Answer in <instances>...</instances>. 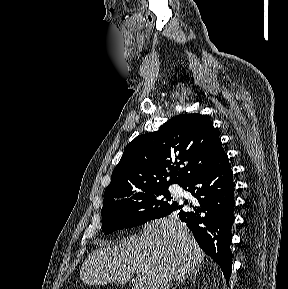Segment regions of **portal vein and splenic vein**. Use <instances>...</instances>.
<instances>
[{
    "label": "portal vein and splenic vein",
    "mask_w": 288,
    "mask_h": 289,
    "mask_svg": "<svg viewBox=\"0 0 288 289\" xmlns=\"http://www.w3.org/2000/svg\"><path fill=\"white\" fill-rule=\"evenodd\" d=\"M134 289H140L141 288V279L137 278L136 280H134Z\"/></svg>",
    "instance_id": "portal-vein-and-splenic-vein-1"
}]
</instances>
